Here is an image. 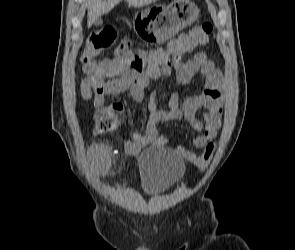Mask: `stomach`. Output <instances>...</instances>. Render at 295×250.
<instances>
[{
    "mask_svg": "<svg viewBox=\"0 0 295 250\" xmlns=\"http://www.w3.org/2000/svg\"><path fill=\"white\" fill-rule=\"evenodd\" d=\"M199 15V8L190 0H174L168 5L139 10L134 29L140 40H147V45H164L165 41L194 23Z\"/></svg>",
    "mask_w": 295,
    "mask_h": 250,
    "instance_id": "0dacf381",
    "label": "stomach"
}]
</instances>
